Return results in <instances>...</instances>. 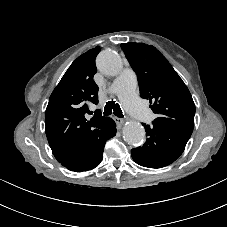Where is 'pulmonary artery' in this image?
I'll use <instances>...</instances> for the list:
<instances>
[{"mask_svg": "<svg viewBox=\"0 0 227 227\" xmlns=\"http://www.w3.org/2000/svg\"><path fill=\"white\" fill-rule=\"evenodd\" d=\"M136 76L130 69L123 70L113 81L110 91L120 98L125 108L141 123L147 124L151 113L135 93Z\"/></svg>", "mask_w": 227, "mask_h": 227, "instance_id": "1", "label": "pulmonary artery"}]
</instances>
